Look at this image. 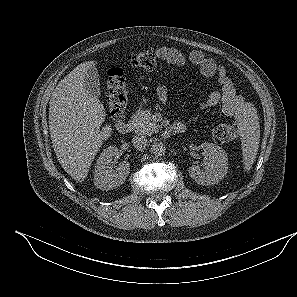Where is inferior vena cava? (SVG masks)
Returning a JSON list of instances; mask_svg holds the SVG:
<instances>
[{"mask_svg": "<svg viewBox=\"0 0 297 297\" xmlns=\"http://www.w3.org/2000/svg\"><path fill=\"white\" fill-rule=\"evenodd\" d=\"M133 146L138 150H143L147 146V139L145 136H135L132 139Z\"/></svg>", "mask_w": 297, "mask_h": 297, "instance_id": "602c4592", "label": "inferior vena cava"}]
</instances>
